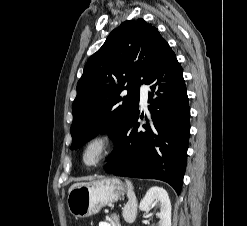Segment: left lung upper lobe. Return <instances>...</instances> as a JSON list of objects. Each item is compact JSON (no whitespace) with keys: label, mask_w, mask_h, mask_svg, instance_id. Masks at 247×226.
Segmentation results:
<instances>
[{"label":"left lung upper lobe","mask_w":247,"mask_h":226,"mask_svg":"<svg viewBox=\"0 0 247 226\" xmlns=\"http://www.w3.org/2000/svg\"><path fill=\"white\" fill-rule=\"evenodd\" d=\"M166 44L157 29L143 19L125 21L109 34L88 59L77 84L71 149L99 132L115 142L138 109L140 85ZM124 89L128 94L121 96Z\"/></svg>","instance_id":"obj_1"}]
</instances>
